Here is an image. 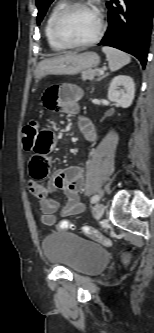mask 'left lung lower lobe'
I'll return each mask as SVG.
<instances>
[{
    "label": "left lung lower lobe",
    "instance_id": "left-lung-lower-lobe-1",
    "mask_svg": "<svg viewBox=\"0 0 154 333\" xmlns=\"http://www.w3.org/2000/svg\"><path fill=\"white\" fill-rule=\"evenodd\" d=\"M106 5L109 26L98 45L130 53L144 68L151 40L154 0H112Z\"/></svg>",
    "mask_w": 154,
    "mask_h": 333
}]
</instances>
